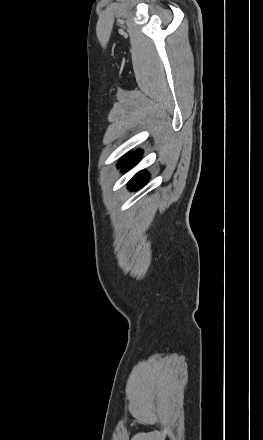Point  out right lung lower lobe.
Masks as SVG:
<instances>
[{"mask_svg": "<svg viewBox=\"0 0 263 440\" xmlns=\"http://www.w3.org/2000/svg\"><path fill=\"white\" fill-rule=\"evenodd\" d=\"M141 158V152L136 151L131 154L123 163V171L129 170L136 165ZM148 180V174L145 171L138 172L129 182V188L137 190L141 188Z\"/></svg>", "mask_w": 263, "mask_h": 440, "instance_id": "98d812e1", "label": "right lung lower lobe"}]
</instances>
